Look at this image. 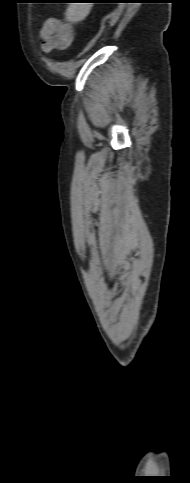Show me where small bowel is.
Returning <instances> with one entry per match:
<instances>
[{"label":"small bowel","instance_id":"obj_1","mask_svg":"<svg viewBox=\"0 0 190 483\" xmlns=\"http://www.w3.org/2000/svg\"><path fill=\"white\" fill-rule=\"evenodd\" d=\"M41 47L45 53L53 49H64L73 40L72 29L54 18L47 19L40 28Z\"/></svg>","mask_w":190,"mask_h":483}]
</instances>
